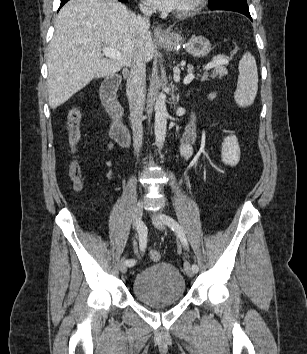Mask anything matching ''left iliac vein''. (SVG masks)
<instances>
[{"label":"left iliac vein","instance_id":"4c4485c4","mask_svg":"<svg viewBox=\"0 0 307 354\" xmlns=\"http://www.w3.org/2000/svg\"><path fill=\"white\" fill-rule=\"evenodd\" d=\"M151 219L152 222L154 224V226L159 229V230H164L165 229V225H164V221L162 220L161 215L157 214V213H152L151 214ZM184 271L185 273L189 276V277H193L194 276V272L190 266V264L188 262L184 263Z\"/></svg>","mask_w":307,"mask_h":354}]
</instances>
